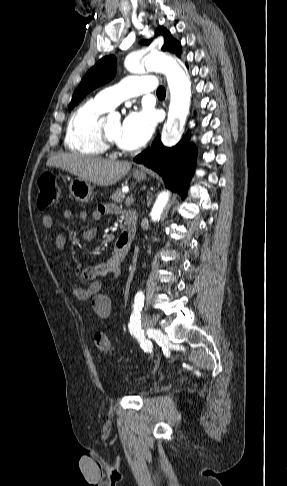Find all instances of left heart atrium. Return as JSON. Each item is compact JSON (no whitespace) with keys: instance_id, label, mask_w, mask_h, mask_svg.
I'll use <instances>...</instances> for the list:
<instances>
[{"instance_id":"1","label":"left heart atrium","mask_w":287,"mask_h":486,"mask_svg":"<svg viewBox=\"0 0 287 486\" xmlns=\"http://www.w3.org/2000/svg\"><path fill=\"white\" fill-rule=\"evenodd\" d=\"M155 128L154 113L143 108L129 113L121 125L120 144L132 150L143 146L151 137Z\"/></svg>"}]
</instances>
